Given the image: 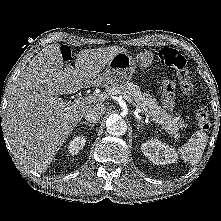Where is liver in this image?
I'll return each instance as SVG.
<instances>
[{
  "instance_id": "liver-1",
  "label": "liver",
  "mask_w": 221,
  "mask_h": 221,
  "mask_svg": "<svg viewBox=\"0 0 221 221\" xmlns=\"http://www.w3.org/2000/svg\"><path fill=\"white\" fill-rule=\"evenodd\" d=\"M120 52L127 50L85 49L77 54L73 67L64 66L59 44L42 49L21 70L8 101L3 128L14 156L44 172L88 109L103 105L95 101L75 106L59 95L76 93L83 85H105L100 72Z\"/></svg>"
}]
</instances>
